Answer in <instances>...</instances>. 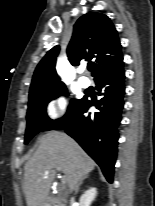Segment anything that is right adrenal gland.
<instances>
[{
	"label": "right adrenal gland",
	"instance_id": "1",
	"mask_svg": "<svg viewBox=\"0 0 155 206\" xmlns=\"http://www.w3.org/2000/svg\"><path fill=\"white\" fill-rule=\"evenodd\" d=\"M86 178H89V176L86 175L85 177H83V178L79 181V183H78V185H77V188L75 189V194L78 193V191H79V189H80V186L83 184V181H84V179H86Z\"/></svg>",
	"mask_w": 155,
	"mask_h": 206
}]
</instances>
